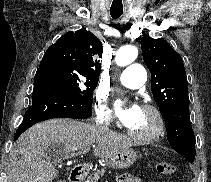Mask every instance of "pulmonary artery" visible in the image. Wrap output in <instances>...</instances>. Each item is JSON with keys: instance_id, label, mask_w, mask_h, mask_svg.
Here are the masks:
<instances>
[{"instance_id": "pulmonary-artery-1", "label": "pulmonary artery", "mask_w": 211, "mask_h": 182, "mask_svg": "<svg viewBox=\"0 0 211 182\" xmlns=\"http://www.w3.org/2000/svg\"><path fill=\"white\" fill-rule=\"evenodd\" d=\"M146 70L137 63L129 65L119 75V81L126 87L139 88L145 83Z\"/></svg>"}]
</instances>
